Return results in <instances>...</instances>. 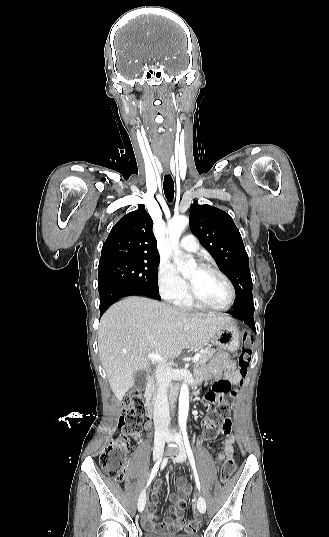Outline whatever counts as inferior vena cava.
<instances>
[{"label": "inferior vena cava", "mask_w": 329, "mask_h": 537, "mask_svg": "<svg viewBox=\"0 0 329 537\" xmlns=\"http://www.w3.org/2000/svg\"><path fill=\"white\" fill-rule=\"evenodd\" d=\"M157 392L154 400L153 420L157 433H166L170 424L167 389L170 383V367L166 362L156 367Z\"/></svg>", "instance_id": "1"}]
</instances>
